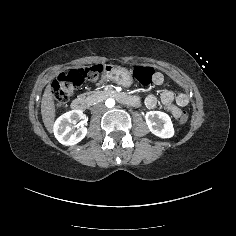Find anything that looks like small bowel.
<instances>
[{
    "label": "small bowel",
    "mask_w": 236,
    "mask_h": 236,
    "mask_svg": "<svg viewBox=\"0 0 236 236\" xmlns=\"http://www.w3.org/2000/svg\"><path fill=\"white\" fill-rule=\"evenodd\" d=\"M163 82V76L160 73H156L153 78V83L155 85H161ZM162 102L166 109L176 118L181 114L180 106H185L188 103V98L185 94H180L177 97V103H174V96L172 92L166 91L162 96ZM145 103L147 107L153 108L157 104V99L154 95L147 96Z\"/></svg>",
    "instance_id": "small-bowel-1"
}]
</instances>
